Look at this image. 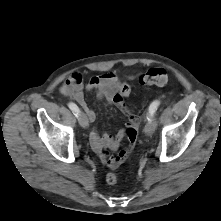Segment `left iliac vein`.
I'll list each match as a JSON object with an SVG mask.
<instances>
[{
    "instance_id": "4c4485c4",
    "label": "left iliac vein",
    "mask_w": 221,
    "mask_h": 221,
    "mask_svg": "<svg viewBox=\"0 0 221 221\" xmlns=\"http://www.w3.org/2000/svg\"><path fill=\"white\" fill-rule=\"evenodd\" d=\"M156 125L157 124L155 117H150V120L147 122V124L144 127V133L148 136L152 135L155 132Z\"/></svg>"
}]
</instances>
